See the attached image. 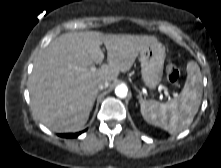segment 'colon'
Listing matches in <instances>:
<instances>
[{
  "instance_id": "1",
  "label": "colon",
  "mask_w": 221,
  "mask_h": 168,
  "mask_svg": "<svg viewBox=\"0 0 221 168\" xmlns=\"http://www.w3.org/2000/svg\"><path fill=\"white\" fill-rule=\"evenodd\" d=\"M165 72L169 83L176 84L178 82L180 71L174 63L168 61L165 67Z\"/></svg>"
}]
</instances>
